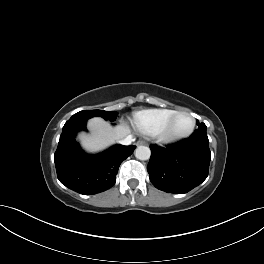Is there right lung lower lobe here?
I'll return each instance as SVG.
<instances>
[{"instance_id": "right-lung-lower-lobe-1", "label": "right lung lower lobe", "mask_w": 264, "mask_h": 264, "mask_svg": "<svg viewBox=\"0 0 264 264\" xmlns=\"http://www.w3.org/2000/svg\"><path fill=\"white\" fill-rule=\"evenodd\" d=\"M89 118L71 117L64 125L54 161L59 181L80 194H97L111 188L120 164L136 146L115 145L101 154H86L75 141Z\"/></svg>"}]
</instances>
